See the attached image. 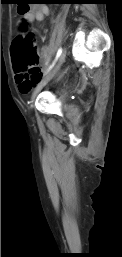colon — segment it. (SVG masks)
<instances>
[{"label": "colon", "instance_id": "1", "mask_svg": "<svg viewBox=\"0 0 122 257\" xmlns=\"http://www.w3.org/2000/svg\"><path fill=\"white\" fill-rule=\"evenodd\" d=\"M19 14H26L32 10V5H15ZM11 58L17 72L28 78H35L40 74L39 55L36 38L32 31L25 30L18 35L11 46Z\"/></svg>", "mask_w": 122, "mask_h": 257}]
</instances>
